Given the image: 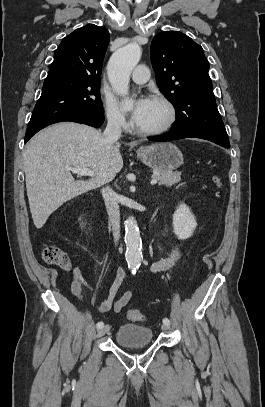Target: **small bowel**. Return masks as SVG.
I'll return each mask as SVG.
<instances>
[{"label":"small bowel","instance_id":"obj_1","mask_svg":"<svg viewBox=\"0 0 265 407\" xmlns=\"http://www.w3.org/2000/svg\"><path fill=\"white\" fill-rule=\"evenodd\" d=\"M180 258V249L176 246L171 254L165 258L155 262L152 266L153 272H162L170 269L173 267ZM72 283H71V290L72 293L77 298H82V271L79 267H74L72 269ZM126 272L125 270H120L114 279V282L109 290L108 297L96 305V311L98 313H106L110 310H113L116 313H120L130 302L132 298V292L126 291L120 298L115 300V296L118 290V287L125 277Z\"/></svg>","mask_w":265,"mask_h":407}]
</instances>
